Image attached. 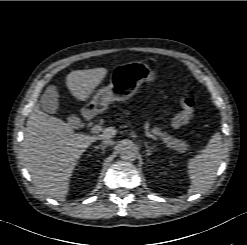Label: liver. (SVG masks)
<instances>
[{
	"label": "liver",
	"mask_w": 247,
	"mask_h": 245,
	"mask_svg": "<svg viewBox=\"0 0 247 245\" xmlns=\"http://www.w3.org/2000/svg\"><path fill=\"white\" fill-rule=\"evenodd\" d=\"M107 71L106 68L72 71L66 76V86L77 100L86 101ZM116 134L114 127L104 129L98 136L74 134L70 124L36 106L27 120L22 150L32 182L44 194L65 200L70 178L82 154L93 142Z\"/></svg>",
	"instance_id": "1"
}]
</instances>
